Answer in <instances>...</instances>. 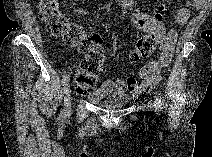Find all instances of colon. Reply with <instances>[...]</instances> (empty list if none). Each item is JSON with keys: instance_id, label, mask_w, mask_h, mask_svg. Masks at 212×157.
<instances>
[{"instance_id": "5ec220e1", "label": "colon", "mask_w": 212, "mask_h": 157, "mask_svg": "<svg viewBox=\"0 0 212 157\" xmlns=\"http://www.w3.org/2000/svg\"><path fill=\"white\" fill-rule=\"evenodd\" d=\"M38 6L40 19L54 35L84 51L85 56L74 75V85L78 92H85L96 84L105 63V48L100 37L87 33L80 24L69 20L61 12L56 1L43 0ZM165 10L166 4L163 3L159 6L155 18L159 20ZM165 39V35L161 32H146L137 39L130 50V60L138 62L150 57L157 47L162 46Z\"/></svg>"}]
</instances>
